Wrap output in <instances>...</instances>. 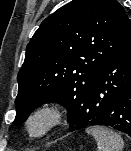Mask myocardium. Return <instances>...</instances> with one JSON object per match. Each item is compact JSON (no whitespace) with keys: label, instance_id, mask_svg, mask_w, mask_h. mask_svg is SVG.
<instances>
[{"label":"myocardium","instance_id":"f54148a6","mask_svg":"<svg viewBox=\"0 0 131 151\" xmlns=\"http://www.w3.org/2000/svg\"><path fill=\"white\" fill-rule=\"evenodd\" d=\"M65 116V110L57 103L46 102L39 104L26 116L24 130L27 136L32 139L45 138L62 125ZM37 120H42L43 126L38 131H34L32 125Z\"/></svg>","mask_w":131,"mask_h":151}]
</instances>
